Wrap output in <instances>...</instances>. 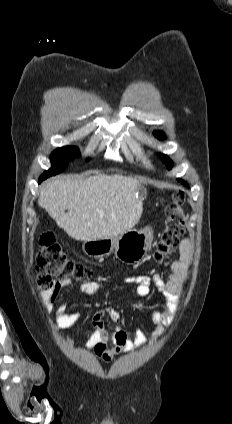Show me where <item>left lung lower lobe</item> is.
Segmentation results:
<instances>
[{
  "label": "left lung lower lobe",
  "mask_w": 232,
  "mask_h": 424,
  "mask_svg": "<svg viewBox=\"0 0 232 424\" xmlns=\"http://www.w3.org/2000/svg\"><path fill=\"white\" fill-rule=\"evenodd\" d=\"M183 185L187 186V183L184 182L183 180L178 179Z\"/></svg>",
  "instance_id": "1"
}]
</instances>
